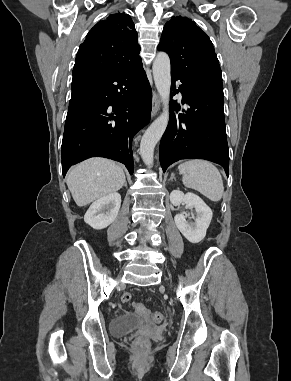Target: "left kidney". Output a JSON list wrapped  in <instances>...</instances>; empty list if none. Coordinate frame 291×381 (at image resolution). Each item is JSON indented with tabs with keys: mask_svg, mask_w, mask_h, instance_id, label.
Returning <instances> with one entry per match:
<instances>
[{
	"mask_svg": "<svg viewBox=\"0 0 291 381\" xmlns=\"http://www.w3.org/2000/svg\"><path fill=\"white\" fill-rule=\"evenodd\" d=\"M170 202L174 206L185 203L188 208L195 209L197 216L194 223L186 221L190 214H177L174 220L179 231L189 242L199 243L202 241L206 236L213 215L210 207L198 195L191 192L184 194L180 190H173L170 193Z\"/></svg>",
	"mask_w": 291,
	"mask_h": 381,
	"instance_id": "left-kidney-1",
	"label": "left kidney"
}]
</instances>
